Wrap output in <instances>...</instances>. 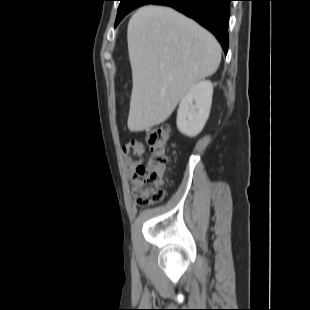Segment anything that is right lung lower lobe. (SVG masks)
<instances>
[{"instance_id":"1","label":"right lung lower lobe","mask_w":310,"mask_h":310,"mask_svg":"<svg viewBox=\"0 0 310 310\" xmlns=\"http://www.w3.org/2000/svg\"><path fill=\"white\" fill-rule=\"evenodd\" d=\"M232 0H153L152 4L170 6L193 18L212 32L225 54L228 51V24Z\"/></svg>"}]
</instances>
